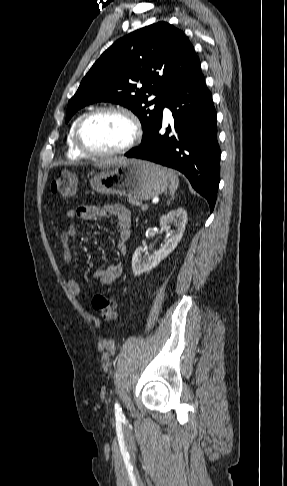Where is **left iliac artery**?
Masks as SVG:
<instances>
[{
  "label": "left iliac artery",
  "instance_id": "1",
  "mask_svg": "<svg viewBox=\"0 0 287 486\" xmlns=\"http://www.w3.org/2000/svg\"><path fill=\"white\" fill-rule=\"evenodd\" d=\"M115 416L117 418L123 417L122 409H121V407H120V405L118 403L115 404Z\"/></svg>",
  "mask_w": 287,
  "mask_h": 486
}]
</instances>
